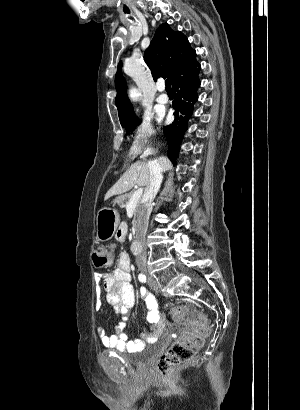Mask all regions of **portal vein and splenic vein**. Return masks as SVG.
Returning a JSON list of instances; mask_svg holds the SVG:
<instances>
[{
  "instance_id": "1",
  "label": "portal vein and splenic vein",
  "mask_w": 300,
  "mask_h": 410,
  "mask_svg": "<svg viewBox=\"0 0 300 410\" xmlns=\"http://www.w3.org/2000/svg\"><path fill=\"white\" fill-rule=\"evenodd\" d=\"M142 194H143V188H139L133 193L132 197L129 199V201L126 205V210L127 211L132 210L136 207V205L139 202Z\"/></svg>"
}]
</instances>
